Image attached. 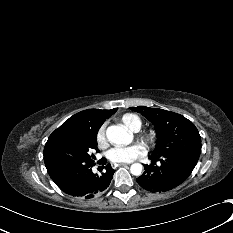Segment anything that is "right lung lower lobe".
<instances>
[{
  "instance_id": "1",
  "label": "right lung lower lobe",
  "mask_w": 233,
  "mask_h": 233,
  "mask_svg": "<svg viewBox=\"0 0 233 233\" xmlns=\"http://www.w3.org/2000/svg\"><path fill=\"white\" fill-rule=\"evenodd\" d=\"M115 170L107 164L100 175L92 172V167L82 170L74 177L57 184L65 193L80 198H93L103 192L110 184Z\"/></svg>"
}]
</instances>
